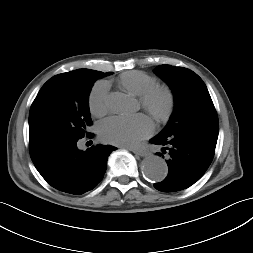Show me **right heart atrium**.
Masks as SVG:
<instances>
[{"label":"right heart atrium","mask_w":253,"mask_h":253,"mask_svg":"<svg viewBox=\"0 0 253 253\" xmlns=\"http://www.w3.org/2000/svg\"><path fill=\"white\" fill-rule=\"evenodd\" d=\"M108 90V84L104 81H99L92 87L88 104L93 115L101 116L107 111Z\"/></svg>","instance_id":"d8ad5b80"}]
</instances>
